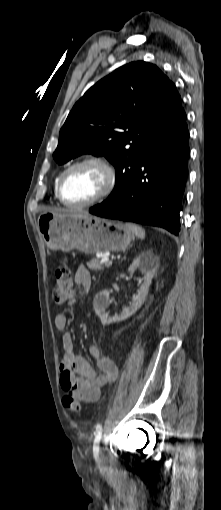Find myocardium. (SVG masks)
<instances>
[{
	"instance_id": "f54148a6",
	"label": "myocardium",
	"mask_w": 221,
	"mask_h": 510,
	"mask_svg": "<svg viewBox=\"0 0 221 510\" xmlns=\"http://www.w3.org/2000/svg\"><path fill=\"white\" fill-rule=\"evenodd\" d=\"M87 165H93L102 171L104 176V182L101 189L95 196H93L91 199L87 201L80 203H71L66 201L63 195V183L65 178L72 170ZM116 181H117L116 170L113 164L107 158L98 155L87 156L73 162L61 173L57 183V196L59 200L67 207L70 208L89 207L108 197L114 190Z\"/></svg>"
}]
</instances>
